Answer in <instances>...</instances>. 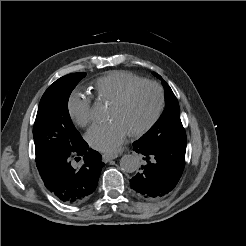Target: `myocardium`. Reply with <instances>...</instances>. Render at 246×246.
<instances>
[{
  "mask_svg": "<svg viewBox=\"0 0 246 246\" xmlns=\"http://www.w3.org/2000/svg\"><path fill=\"white\" fill-rule=\"evenodd\" d=\"M144 85H151L154 86L159 94V101H158V106L156 108V111L154 113V115L152 116V118L142 127L133 130L130 132V134L132 136H141L143 134H145L146 132H148L155 124L156 122L159 120L163 109H164V105H165V94H164V90L162 88V86L153 80H141L139 82H136L130 86H128L112 103L111 105L114 106H121L123 105L128 98L130 97V95L139 87L144 86Z\"/></svg>",
  "mask_w": 246,
  "mask_h": 246,
  "instance_id": "f54148a6",
  "label": "myocardium"
}]
</instances>
